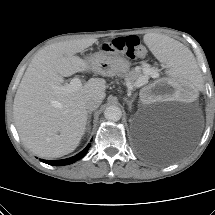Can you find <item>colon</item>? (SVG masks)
<instances>
[{"instance_id": "5ec220e1", "label": "colon", "mask_w": 215, "mask_h": 215, "mask_svg": "<svg viewBox=\"0 0 215 215\" xmlns=\"http://www.w3.org/2000/svg\"><path fill=\"white\" fill-rule=\"evenodd\" d=\"M107 52L124 53L132 59L143 58L146 54L145 47L137 36L117 37L102 45Z\"/></svg>"}]
</instances>
